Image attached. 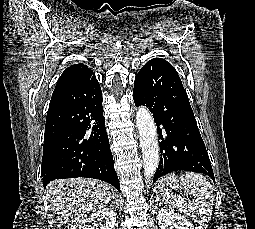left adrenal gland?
<instances>
[{
    "mask_svg": "<svg viewBox=\"0 0 255 229\" xmlns=\"http://www.w3.org/2000/svg\"><path fill=\"white\" fill-rule=\"evenodd\" d=\"M157 202H159V200H158V198H157V200H156ZM158 205H161V203H157Z\"/></svg>",
    "mask_w": 255,
    "mask_h": 229,
    "instance_id": "left-adrenal-gland-1",
    "label": "left adrenal gland"
}]
</instances>
